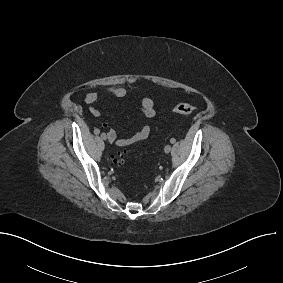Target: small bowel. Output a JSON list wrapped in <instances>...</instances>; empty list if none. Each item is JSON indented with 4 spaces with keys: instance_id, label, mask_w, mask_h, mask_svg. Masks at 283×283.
I'll list each match as a JSON object with an SVG mask.
<instances>
[{
    "instance_id": "1",
    "label": "small bowel",
    "mask_w": 283,
    "mask_h": 283,
    "mask_svg": "<svg viewBox=\"0 0 283 283\" xmlns=\"http://www.w3.org/2000/svg\"><path fill=\"white\" fill-rule=\"evenodd\" d=\"M104 93L117 99L126 96V90L120 86H109L101 90H92L88 92L85 96V102L90 105V112L95 117H98L100 115V111L97 108L96 104ZM139 109L141 113L147 118H153L156 115L154 101L149 97H144L141 100ZM103 126L107 127L106 124H103ZM150 132V126L143 125L136 133L129 137L118 138L116 132L113 129H109L107 135L111 143H114L119 147H127L147 139L150 135Z\"/></svg>"
}]
</instances>
